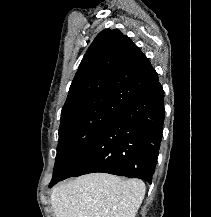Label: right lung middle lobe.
Segmentation results:
<instances>
[{
  "instance_id": "dd1d6c3e",
  "label": "right lung middle lobe",
  "mask_w": 211,
  "mask_h": 217,
  "mask_svg": "<svg viewBox=\"0 0 211 217\" xmlns=\"http://www.w3.org/2000/svg\"><path fill=\"white\" fill-rule=\"evenodd\" d=\"M115 112H95L60 123L53 179L62 177L113 120Z\"/></svg>"
}]
</instances>
